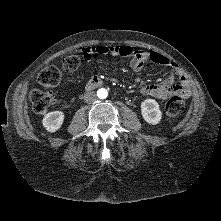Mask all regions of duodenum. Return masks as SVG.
<instances>
[{
	"instance_id": "obj_1",
	"label": "duodenum",
	"mask_w": 221,
	"mask_h": 221,
	"mask_svg": "<svg viewBox=\"0 0 221 221\" xmlns=\"http://www.w3.org/2000/svg\"><path fill=\"white\" fill-rule=\"evenodd\" d=\"M104 84V81L98 77V76H93L86 84V89L91 90L97 87H101Z\"/></svg>"
}]
</instances>
